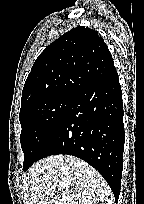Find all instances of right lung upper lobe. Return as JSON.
<instances>
[{"instance_id": "obj_1", "label": "right lung upper lobe", "mask_w": 144, "mask_h": 204, "mask_svg": "<svg viewBox=\"0 0 144 204\" xmlns=\"http://www.w3.org/2000/svg\"><path fill=\"white\" fill-rule=\"evenodd\" d=\"M115 70L98 32L84 26L73 28L36 59L24 84L20 113L54 95L77 94Z\"/></svg>"}]
</instances>
